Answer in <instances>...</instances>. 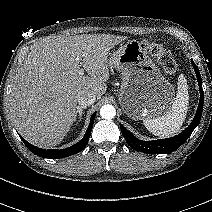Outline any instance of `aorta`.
I'll return each mask as SVG.
<instances>
[{
  "instance_id": "762f6f07",
  "label": "aorta",
  "mask_w": 212,
  "mask_h": 212,
  "mask_svg": "<svg viewBox=\"0 0 212 212\" xmlns=\"http://www.w3.org/2000/svg\"><path fill=\"white\" fill-rule=\"evenodd\" d=\"M100 115L103 119L110 120L115 117L116 109L113 105L105 104L100 109Z\"/></svg>"
}]
</instances>
